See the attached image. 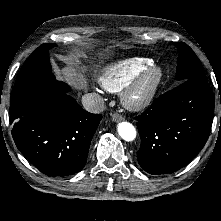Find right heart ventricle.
<instances>
[{"instance_id":"right-heart-ventricle-1","label":"right heart ventricle","mask_w":221,"mask_h":221,"mask_svg":"<svg viewBox=\"0 0 221 221\" xmlns=\"http://www.w3.org/2000/svg\"><path fill=\"white\" fill-rule=\"evenodd\" d=\"M152 64V60L139 57L117 61L102 67L97 75V81L106 91L118 92Z\"/></svg>"}]
</instances>
